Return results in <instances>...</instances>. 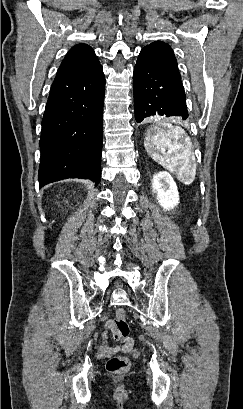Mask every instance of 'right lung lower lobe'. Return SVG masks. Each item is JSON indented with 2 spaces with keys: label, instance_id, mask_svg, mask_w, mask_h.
Instances as JSON below:
<instances>
[{
  "label": "right lung lower lobe",
  "instance_id": "98d812e1",
  "mask_svg": "<svg viewBox=\"0 0 243 409\" xmlns=\"http://www.w3.org/2000/svg\"><path fill=\"white\" fill-rule=\"evenodd\" d=\"M105 77L102 66L85 75H57L42 119L39 185L67 178L99 183Z\"/></svg>",
  "mask_w": 243,
  "mask_h": 409
}]
</instances>
